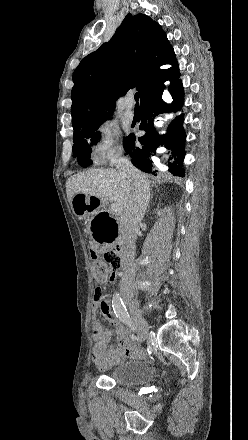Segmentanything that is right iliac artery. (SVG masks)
Instances as JSON below:
<instances>
[{
  "label": "right iliac artery",
  "instance_id": "obj_1",
  "mask_svg": "<svg viewBox=\"0 0 248 440\" xmlns=\"http://www.w3.org/2000/svg\"><path fill=\"white\" fill-rule=\"evenodd\" d=\"M112 307L114 310V313L119 318L120 321H122L125 325L131 328V330L136 331V327L132 319L130 318V315L127 311V308L125 304L122 301V298L120 297L119 293H115L113 295L112 299Z\"/></svg>",
  "mask_w": 248,
  "mask_h": 440
}]
</instances>
